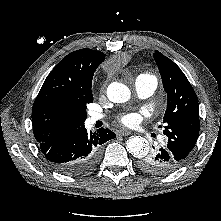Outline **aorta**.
I'll use <instances>...</instances> for the list:
<instances>
[{
	"mask_svg": "<svg viewBox=\"0 0 221 221\" xmlns=\"http://www.w3.org/2000/svg\"><path fill=\"white\" fill-rule=\"evenodd\" d=\"M107 96L111 102L124 103L131 97L130 89L119 82H112L107 88ZM127 151L136 158H142L148 153V145L141 136H131L126 143Z\"/></svg>",
	"mask_w": 221,
	"mask_h": 221,
	"instance_id": "1",
	"label": "aorta"
}]
</instances>
